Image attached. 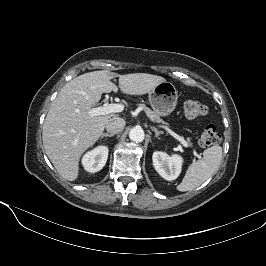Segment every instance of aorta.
<instances>
[{
  "label": "aorta",
  "instance_id": "aorta-1",
  "mask_svg": "<svg viewBox=\"0 0 266 266\" xmlns=\"http://www.w3.org/2000/svg\"><path fill=\"white\" fill-rule=\"evenodd\" d=\"M145 134L141 127H134L129 132V138L134 142H142L144 140Z\"/></svg>",
  "mask_w": 266,
  "mask_h": 266
}]
</instances>
